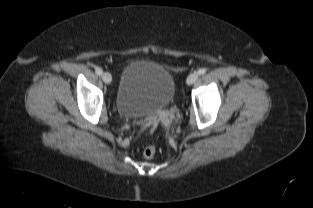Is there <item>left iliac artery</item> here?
Here are the masks:
<instances>
[{"instance_id":"1","label":"left iliac artery","mask_w":313,"mask_h":208,"mask_svg":"<svg viewBox=\"0 0 313 208\" xmlns=\"http://www.w3.org/2000/svg\"><path fill=\"white\" fill-rule=\"evenodd\" d=\"M206 73V69L205 68H201L198 70V74L199 75H204Z\"/></svg>"}]
</instances>
